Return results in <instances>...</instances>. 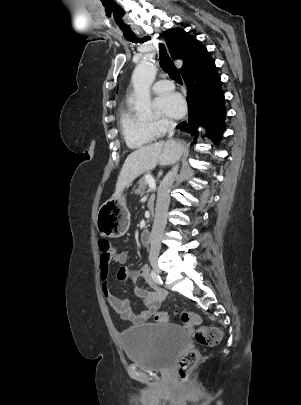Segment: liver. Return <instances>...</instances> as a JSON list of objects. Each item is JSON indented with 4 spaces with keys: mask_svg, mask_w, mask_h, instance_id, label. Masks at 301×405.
Returning <instances> with one entry per match:
<instances>
[{
    "mask_svg": "<svg viewBox=\"0 0 301 405\" xmlns=\"http://www.w3.org/2000/svg\"><path fill=\"white\" fill-rule=\"evenodd\" d=\"M184 146L181 142L160 141L143 146L126 158L116 183L113 198L128 187L137 177L153 170L158 164H174L182 155Z\"/></svg>",
    "mask_w": 301,
    "mask_h": 405,
    "instance_id": "obj_1",
    "label": "liver"
}]
</instances>
